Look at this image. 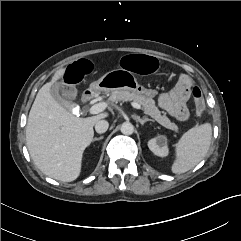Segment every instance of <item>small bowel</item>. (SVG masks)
Wrapping results in <instances>:
<instances>
[{
    "label": "small bowel",
    "mask_w": 241,
    "mask_h": 241,
    "mask_svg": "<svg viewBox=\"0 0 241 241\" xmlns=\"http://www.w3.org/2000/svg\"><path fill=\"white\" fill-rule=\"evenodd\" d=\"M195 88L191 78L186 74H181L177 84L170 92L158 95V104L176 120L185 121L189 117L187 102Z\"/></svg>",
    "instance_id": "1"
}]
</instances>
